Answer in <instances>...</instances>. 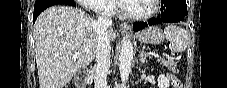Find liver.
<instances>
[{"label":"liver","mask_w":227,"mask_h":88,"mask_svg":"<svg viewBox=\"0 0 227 88\" xmlns=\"http://www.w3.org/2000/svg\"><path fill=\"white\" fill-rule=\"evenodd\" d=\"M34 32L40 88H64L96 57V21L79 8L49 7L38 16ZM108 34L114 41L113 29ZM75 52H80L77 59Z\"/></svg>","instance_id":"liver-1"}]
</instances>
